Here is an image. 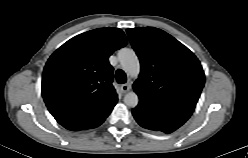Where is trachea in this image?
<instances>
[{"mask_svg": "<svg viewBox=\"0 0 248 158\" xmlns=\"http://www.w3.org/2000/svg\"><path fill=\"white\" fill-rule=\"evenodd\" d=\"M116 80L119 84H124L126 83V80H127V77H126V74L124 73L123 70L121 69H118L116 71Z\"/></svg>", "mask_w": 248, "mask_h": 158, "instance_id": "3493384b", "label": "trachea"}]
</instances>
